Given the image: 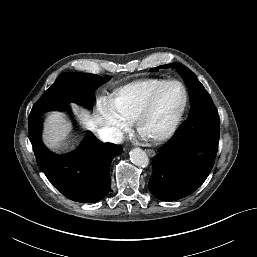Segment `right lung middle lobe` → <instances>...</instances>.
Masks as SVG:
<instances>
[{"label":"right lung middle lobe","instance_id":"obj_1","mask_svg":"<svg viewBox=\"0 0 257 257\" xmlns=\"http://www.w3.org/2000/svg\"><path fill=\"white\" fill-rule=\"evenodd\" d=\"M106 81L105 78L89 73L60 75L33 106L29 117V130L38 124L45 112L65 110L71 102L91 109L94 104L93 92Z\"/></svg>","mask_w":257,"mask_h":257}]
</instances>
